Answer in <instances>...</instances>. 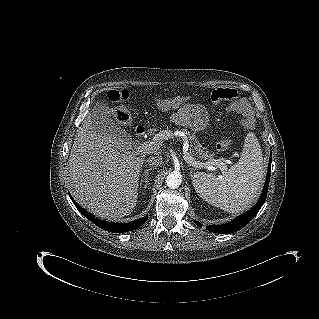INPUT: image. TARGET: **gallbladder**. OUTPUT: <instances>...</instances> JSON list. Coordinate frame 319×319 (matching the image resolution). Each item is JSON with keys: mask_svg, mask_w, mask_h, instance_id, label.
<instances>
[{"mask_svg": "<svg viewBox=\"0 0 319 319\" xmlns=\"http://www.w3.org/2000/svg\"><path fill=\"white\" fill-rule=\"evenodd\" d=\"M92 115L94 126L102 137L112 141L118 138H128L127 132L112 119L109 108L105 103L98 102L94 104Z\"/></svg>", "mask_w": 319, "mask_h": 319, "instance_id": "1", "label": "gallbladder"}]
</instances>
